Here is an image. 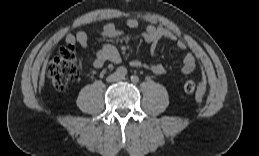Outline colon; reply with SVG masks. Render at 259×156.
Wrapping results in <instances>:
<instances>
[{
  "mask_svg": "<svg viewBox=\"0 0 259 156\" xmlns=\"http://www.w3.org/2000/svg\"><path fill=\"white\" fill-rule=\"evenodd\" d=\"M46 73L53 88L57 90L65 89L68 83L78 75L74 46L67 45L63 47L49 61ZM196 88L197 84L193 80H189L184 84V91L186 93H193Z\"/></svg>",
  "mask_w": 259,
  "mask_h": 156,
  "instance_id": "5ec220e1",
  "label": "colon"
}]
</instances>
